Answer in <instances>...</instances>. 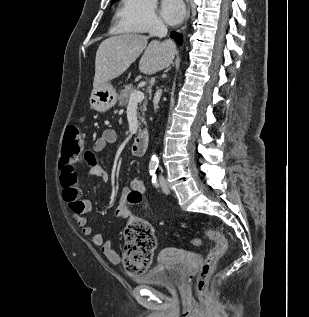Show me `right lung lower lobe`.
<instances>
[{"label": "right lung lower lobe", "instance_id": "right-lung-lower-lobe-1", "mask_svg": "<svg viewBox=\"0 0 309 317\" xmlns=\"http://www.w3.org/2000/svg\"><path fill=\"white\" fill-rule=\"evenodd\" d=\"M170 37L173 38L179 45H182V42H183L182 35H179L176 32H172Z\"/></svg>", "mask_w": 309, "mask_h": 317}]
</instances>
